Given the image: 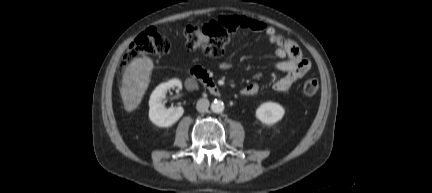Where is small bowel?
<instances>
[{
  "instance_id": "c3829d8e",
  "label": "small bowel",
  "mask_w": 432,
  "mask_h": 193,
  "mask_svg": "<svg viewBox=\"0 0 432 193\" xmlns=\"http://www.w3.org/2000/svg\"><path fill=\"white\" fill-rule=\"evenodd\" d=\"M221 20L227 26L234 29H244L267 36L269 43L275 48V55L279 59L275 67L285 72V75L273 83V89L277 92H286L301 79L311 68L309 59L303 56L298 45L290 39H287L276 29L261 21L245 16H227ZM233 67L230 61H222L218 64L220 70H228ZM260 90L257 83H249L241 89L244 96H254Z\"/></svg>"
}]
</instances>
